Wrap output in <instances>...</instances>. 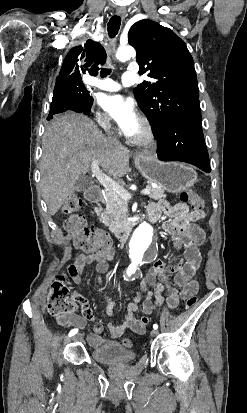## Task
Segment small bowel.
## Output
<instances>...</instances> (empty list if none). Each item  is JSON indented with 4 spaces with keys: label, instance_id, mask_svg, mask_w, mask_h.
I'll use <instances>...</instances> for the list:
<instances>
[{
    "label": "small bowel",
    "instance_id": "1",
    "mask_svg": "<svg viewBox=\"0 0 247 413\" xmlns=\"http://www.w3.org/2000/svg\"><path fill=\"white\" fill-rule=\"evenodd\" d=\"M147 210L150 222H156L161 218L162 214L170 218L164 228L183 247L184 256L178 261L165 262L157 260L146 272L138 286L134 300L127 306L123 321L119 324H108L111 336V340L108 342H110L111 347L115 346L113 340L120 338L127 330L137 334L145 333L149 316L162 304L161 294L165 287H167L169 292L166 302L169 309L176 308L181 297L185 299H195L197 297L199 282L192 279L201 263L199 248L204 243L205 233L194 223L203 218V210H190L189 205L183 202L170 205L164 199L149 203ZM109 258V256L98 252L79 254L68 266V273L72 282L79 284L91 266H94L95 271L99 275L106 273L109 268ZM172 273L175 274L173 281L169 279V275ZM179 288H183L185 291L180 293ZM143 294H145L144 299H142ZM74 297L80 303L82 315H59L56 317V321L60 326L84 328L87 322L93 319L94 312L86 298L76 292ZM153 297H155V301H152ZM105 301V314L112 316L117 303L109 296L105 297ZM139 305L142 308L143 316L137 319L134 317V312L139 308ZM101 332L102 329L98 327L95 329V332L87 336L88 343L92 347L98 348L105 344L104 338L100 335Z\"/></svg>",
    "mask_w": 247,
    "mask_h": 413
}]
</instances>
